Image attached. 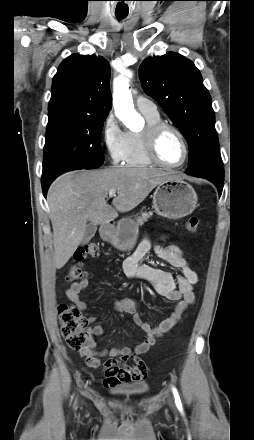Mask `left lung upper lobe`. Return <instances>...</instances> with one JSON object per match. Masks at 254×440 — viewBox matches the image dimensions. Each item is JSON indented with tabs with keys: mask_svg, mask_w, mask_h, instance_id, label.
I'll use <instances>...</instances> for the list:
<instances>
[{
	"mask_svg": "<svg viewBox=\"0 0 254 440\" xmlns=\"http://www.w3.org/2000/svg\"><path fill=\"white\" fill-rule=\"evenodd\" d=\"M145 92L164 109L189 146L187 174L224 180V167L211 97L197 67L175 52L145 59L140 66Z\"/></svg>",
	"mask_w": 254,
	"mask_h": 440,
	"instance_id": "left-lung-upper-lobe-1",
	"label": "left lung upper lobe"
}]
</instances>
